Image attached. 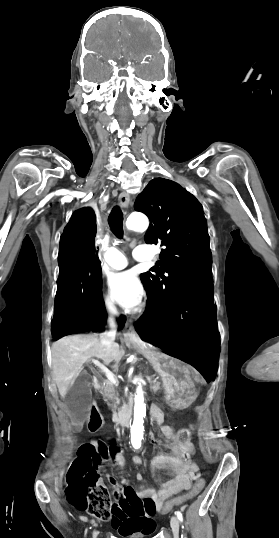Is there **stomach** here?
I'll return each instance as SVG.
<instances>
[{
  "label": "stomach",
  "mask_w": 279,
  "mask_h": 538,
  "mask_svg": "<svg viewBox=\"0 0 279 538\" xmlns=\"http://www.w3.org/2000/svg\"><path fill=\"white\" fill-rule=\"evenodd\" d=\"M147 360L159 375V382L165 386V405L172 401L174 407L187 409L198 400V391L191 380L192 369L188 363H181L172 353L150 352ZM170 382V384H168Z\"/></svg>",
  "instance_id": "obj_1"
}]
</instances>
